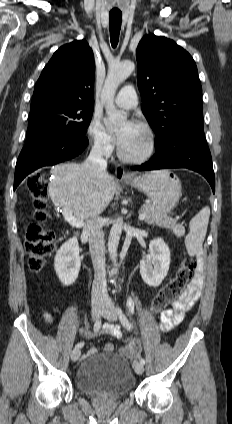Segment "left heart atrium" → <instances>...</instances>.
Listing matches in <instances>:
<instances>
[{"mask_svg": "<svg viewBox=\"0 0 232 424\" xmlns=\"http://www.w3.org/2000/svg\"><path fill=\"white\" fill-rule=\"evenodd\" d=\"M135 126L136 124L133 121H128L118 131L116 135V142L120 147L126 142Z\"/></svg>", "mask_w": 232, "mask_h": 424, "instance_id": "1", "label": "left heart atrium"}]
</instances>
